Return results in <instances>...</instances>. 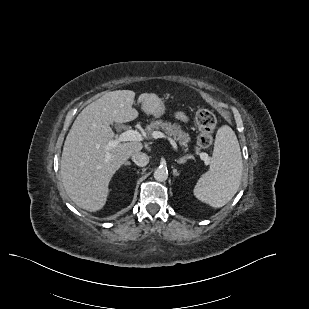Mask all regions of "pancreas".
I'll list each match as a JSON object with an SVG mask.
<instances>
[{"label": "pancreas", "instance_id": "pancreas-1", "mask_svg": "<svg viewBox=\"0 0 309 309\" xmlns=\"http://www.w3.org/2000/svg\"><path fill=\"white\" fill-rule=\"evenodd\" d=\"M156 130H163L168 136H171L174 140L178 141L179 145L184 148V151H188V144L191 137L188 133L184 132L177 124H171L170 122H164L162 120L151 121L146 126V132L151 135ZM195 153L200 155V148H195Z\"/></svg>", "mask_w": 309, "mask_h": 309}]
</instances>
